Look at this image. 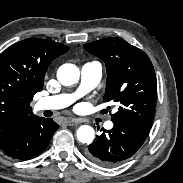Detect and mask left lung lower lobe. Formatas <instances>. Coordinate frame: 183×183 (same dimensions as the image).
I'll list each match as a JSON object with an SVG mask.
<instances>
[{
  "instance_id": "left-lung-lower-lobe-1",
  "label": "left lung lower lobe",
  "mask_w": 183,
  "mask_h": 183,
  "mask_svg": "<svg viewBox=\"0 0 183 183\" xmlns=\"http://www.w3.org/2000/svg\"><path fill=\"white\" fill-rule=\"evenodd\" d=\"M111 130L103 133L86 150L87 157L94 163L115 166L131 156L142 146L149 131L128 121H113Z\"/></svg>"
}]
</instances>
